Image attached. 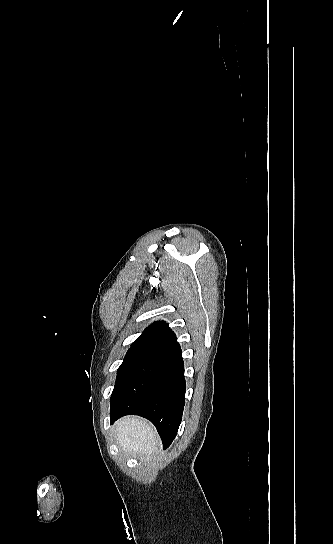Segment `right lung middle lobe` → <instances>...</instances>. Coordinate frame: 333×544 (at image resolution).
I'll use <instances>...</instances> for the list:
<instances>
[{"label":"right lung middle lobe","instance_id":"dd1d6c3e","mask_svg":"<svg viewBox=\"0 0 333 544\" xmlns=\"http://www.w3.org/2000/svg\"><path fill=\"white\" fill-rule=\"evenodd\" d=\"M150 352L151 349L149 348H130L127 351L123 363L117 370V378L111 398L124 386Z\"/></svg>","mask_w":333,"mask_h":544}]
</instances>
